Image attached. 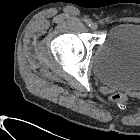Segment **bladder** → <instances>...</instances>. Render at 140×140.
Wrapping results in <instances>:
<instances>
[{"mask_svg":"<svg viewBox=\"0 0 140 140\" xmlns=\"http://www.w3.org/2000/svg\"><path fill=\"white\" fill-rule=\"evenodd\" d=\"M92 70L107 86L140 90V23L113 25L95 52Z\"/></svg>","mask_w":140,"mask_h":140,"instance_id":"bladder-1","label":"bladder"}]
</instances>
